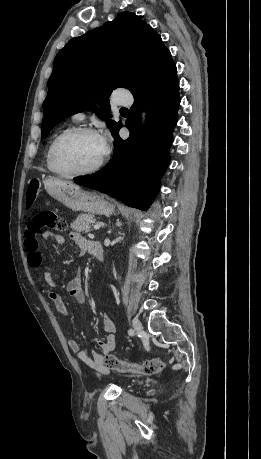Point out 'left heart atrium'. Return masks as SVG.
<instances>
[{
	"instance_id": "39dd6f15",
	"label": "left heart atrium",
	"mask_w": 261,
	"mask_h": 459,
	"mask_svg": "<svg viewBox=\"0 0 261 459\" xmlns=\"http://www.w3.org/2000/svg\"><path fill=\"white\" fill-rule=\"evenodd\" d=\"M99 138L103 145L104 150H106L108 148V143L110 141V136L108 132H105L103 135L99 136Z\"/></svg>"
}]
</instances>
